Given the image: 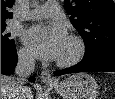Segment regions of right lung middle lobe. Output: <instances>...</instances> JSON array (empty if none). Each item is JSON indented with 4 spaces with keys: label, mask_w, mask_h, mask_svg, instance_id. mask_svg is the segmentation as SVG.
<instances>
[{
    "label": "right lung middle lobe",
    "mask_w": 115,
    "mask_h": 99,
    "mask_svg": "<svg viewBox=\"0 0 115 99\" xmlns=\"http://www.w3.org/2000/svg\"><path fill=\"white\" fill-rule=\"evenodd\" d=\"M6 23H1V47H10L14 40L10 38L11 34L5 32Z\"/></svg>",
    "instance_id": "obj_1"
}]
</instances>
